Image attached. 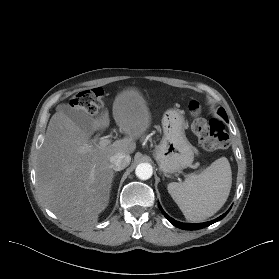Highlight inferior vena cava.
Masks as SVG:
<instances>
[{
  "instance_id": "1",
  "label": "inferior vena cava",
  "mask_w": 279,
  "mask_h": 279,
  "mask_svg": "<svg viewBox=\"0 0 279 279\" xmlns=\"http://www.w3.org/2000/svg\"><path fill=\"white\" fill-rule=\"evenodd\" d=\"M131 161L129 154L118 152L110 157V166L115 171H120L126 168Z\"/></svg>"
}]
</instances>
